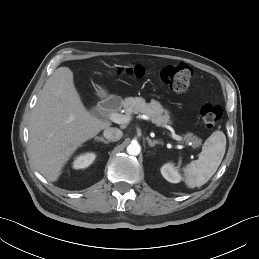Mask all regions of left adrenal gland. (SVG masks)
<instances>
[{"mask_svg": "<svg viewBox=\"0 0 259 259\" xmlns=\"http://www.w3.org/2000/svg\"><path fill=\"white\" fill-rule=\"evenodd\" d=\"M147 141H148V145L150 146V147H153V146H155L156 144H162V142H160V141H158V140H151V139H149V138H147Z\"/></svg>", "mask_w": 259, "mask_h": 259, "instance_id": "left-adrenal-gland-1", "label": "left adrenal gland"}]
</instances>
